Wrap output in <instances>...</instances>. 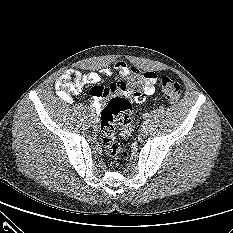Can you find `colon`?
<instances>
[{
  "label": "colon",
  "instance_id": "5ec220e1",
  "mask_svg": "<svg viewBox=\"0 0 233 233\" xmlns=\"http://www.w3.org/2000/svg\"><path fill=\"white\" fill-rule=\"evenodd\" d=\"M146 75L137 69H132L129 81V92L134 97L141 95V88ZM160 87L165 98L175 103L179 100L182 89L179 83L167 76L160 78ZM131 101L127 95L113 97L101 111L100 116V140L104 144L106 154L114 160H118L122 153V147L116 140L115 123L121 126L123 136L132 133L133 126L130 119Z\"/></svg>",
  "mask_w": 233,
  "mask_h": 233
}]
</instances>
